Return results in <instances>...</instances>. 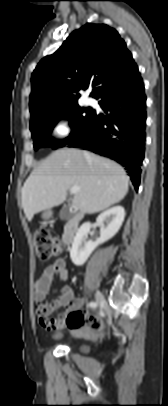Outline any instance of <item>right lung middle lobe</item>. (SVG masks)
<instances>
[{
    "mask_svg": "<svg viewBox=\"0 0 168 406\" xmlns=\"http://www.w3.org/2000/svg\"><path fill=\"white\" fill-rule=\"evenodd\" d=\"M93 113L94 111L92 109H84L77 103L37 122L31 123L30 130L32 132L35 150L46 146H51L52 148H60L65 146L88 124ZM63 115H67L70 120V126L72 127L71 134L64 140L54 141L49 135L57 121Z\"/></svg>",
    "mask_w": 168,
    "mask_h": 406,
    "instance_id": "dd1d6c3e",
    "label": "right lung middle lobe"
}]
</instances>
